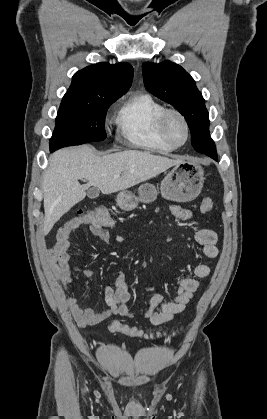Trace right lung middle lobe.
Here are the masks:
<instances>
[{"label": "right lung middle lobe", "mask_w": 267, "mask_h": 419, "mask_svg": "<svg viewBox=\"0 0 267 419\" xmlns=\"http://www.w3.org/2000/svg\"><path fill=\"white\" fill-rule=\"evenodd\" d=\"M121 96L62 99L50 140V151L71 145L103 141L108 107Z\"/></svg>", "instance_id": "dd1d6c3e"}]
</instances>
